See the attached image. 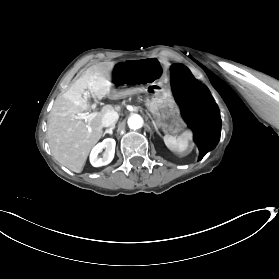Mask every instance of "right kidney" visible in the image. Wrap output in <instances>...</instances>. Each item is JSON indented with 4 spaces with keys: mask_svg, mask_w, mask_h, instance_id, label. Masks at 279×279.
<instances>
[{
    "mask_svg": "<svg viewBox=\"0 0 279 279\" xmlns=\"http://www.w3.org/2000/svg\"><path fill=\"white\" fill-rule=\"evenodd\" d=\"M116 142L112 138L104 139L101 143L97 144L90 155L91 164L94 167L104 166L109 164L115 153ZM104 150V152H103ZM100 156V153H102Z\"/></svg>",
    "mask_w": 279,
    "mask_h": 279,
    "instance_id": "obj_1",
    "label": "right kidney"
}]
</instances>
